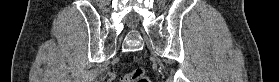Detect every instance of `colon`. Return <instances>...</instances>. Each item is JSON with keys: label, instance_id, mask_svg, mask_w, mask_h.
Masks as SVG:
<instances>
[{"label": "colon", "instance_id": "5ec220e1", "mask_svg": "<svg viewBox=\"0 0 279 82\" xmlns=\"http://www.w3.org/2000/svg\"><path fill=\"white\" fill-rule=\"evenodd\" d=\"M122 82H149V78L146 74L145 69L138 68L126 74L123 77Z\"/></svg>", "mask_w": 279, "mask_h": 82}]
</instances>
